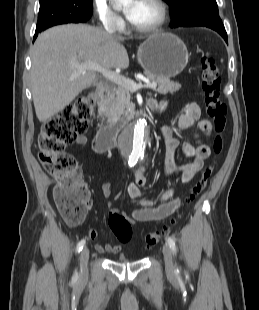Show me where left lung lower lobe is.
Wrapping results in <instances>:
<instances>
[{"instance_id":"1","label":"left lung lower lobe","mask_w":259,"mask_h":310,"mask_svg":"<svg viewBox=\"0 0 259 310\" xmlns=\"http://www.w3.org/2000/svg\"><path fill=\"white\" fill-rule=\"evenodd\" d=\"M192 26H204V27L211 28L215 30L216 32H218L227 42V33H226L224 25H211V24L200 23V22H191V23H185V24L179 25L177 27H192Z\"/></svg>"}]
</instances>
